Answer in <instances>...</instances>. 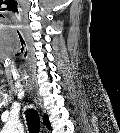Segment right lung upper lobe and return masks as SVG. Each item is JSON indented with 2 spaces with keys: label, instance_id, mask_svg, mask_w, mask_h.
I'll return each mask as SVG.
<instances>
[{
  "label": "right lung upper lobe",
  "instance_id": "obj_1",
  "mask_svg": "<svg viewBox=\"0 0 120 133\" xmlns=\"http://www.w3.org/2000/svg\"><path fill=\"white\" fill-rule=\"evenodd\" d=\"M45 123H46V125H48L49 122L46 120Z\"/></svg>",
  "mask_w": 120,
  "mask_h": 133
}]
</instances>
